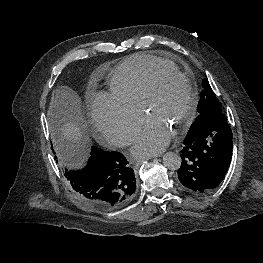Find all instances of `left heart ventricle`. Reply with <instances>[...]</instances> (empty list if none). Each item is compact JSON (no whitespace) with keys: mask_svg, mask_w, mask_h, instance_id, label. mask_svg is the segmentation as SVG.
Instances as JSON below:
<instances>
[{"mask_svg":"<svg viewBox=\"0 0 263 263\" xmlns=\"http://www.w3.org/2000/svg\"><path fill=\"white\" fill-rule=\"evenodd\" d=\"M187 104L188 91L185 82L180 78L165 75L157 83L147 116L160 122L172 133Z\"/></svg>","mask_w":263,"mask_h":263,"instance_id":"obj_1","label":"left heart ventricle"}]
</instances>
